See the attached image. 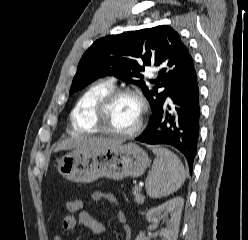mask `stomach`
<instances>
[{
  "instance_id": "obj_1",
  "label": "stomach",
  "mask_w": 248,
  "mask_h": 240,
  "mask_svg": "<svg viewBox=\"0 0 248 240\" xmlns=\"http://www.w3.org/2000/svg\"><path fill=\"white\" fill-rule=\"evenodd\" d=\"M149 165L147 153L137 144L127 143L96 152L74 150L58 161V172L67 180L91 183L101 177H139Z\"/></svg>"
}]
</instances>
